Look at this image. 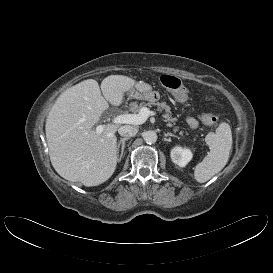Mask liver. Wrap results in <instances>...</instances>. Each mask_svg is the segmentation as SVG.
I'll return each instance as SVG.
<instances>
[{
  "instance_id": "6515ba94",
  "label": "liver",
  "mask_w": 273,
  "mask_h": 273,
  "mask_svg": "<svg viewBox=\"0 0 273 273\" xmlns=\"http://www.w3.org/2000/svg\"><path fill=\"white\" fill-rule=\"evenodd\" d=\"M136 81L124 75H110L99 84L84 80L63 92L47 117L45 130L49 156L56 172L71 182L97 186L114 173L117 157V124H107L101 133L92 128L102 113L120 106L125 92ZM103 96H102V94Z\"/></svg>"
}]
</instances>
